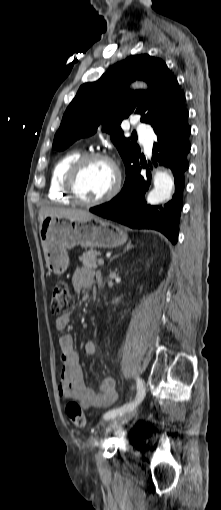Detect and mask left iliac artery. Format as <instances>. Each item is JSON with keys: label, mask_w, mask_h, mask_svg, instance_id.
<instances>
[{"label": "left iliac artery", "mask_w": 221, "mask_h": 510, "mask_svg": "<svg viewBox=\"0 0 221 510\" xmlns=\"http://www.w3.org/2000/svg\"><path fill=\"white\" fill-rule=\"evenodd\" d=\"M144 396H145V388L143 386V383L140 382V378H137V395H136L135 400L130 403L124 404L123 406H121L119 408L112 409V410L106 412L104 414L103 418L106 420H110L116 416H121L124 413L131 411L132 409H134L137 405H139L142 402V400L144 399Z\"/></svg>", "instance_id": "1"}]
</instances>
